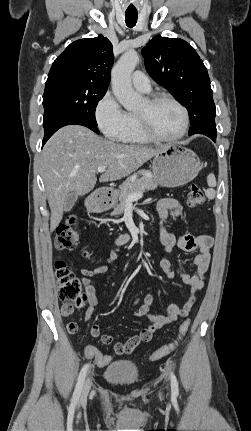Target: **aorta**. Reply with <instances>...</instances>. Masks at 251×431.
I'll return each mask as SVG.
<instances>
[{"mask_svg": "<svg viewBox=\"0 0 251 431\" xmlns=\"http://www.w3.org/2000/svg\"><path fill=\"white\" fill-rule=\"evenodd\" d=\"M138 62L137 52L128 50L120 57L111 72L112 91L126 110H134L141 103L139 95L135 93L131 84V74Z\"/></svg>", "mask_w": 251, "mask_h": 431, "instance_id": "aorta-1", "label": "aorta"}]
</instances>
